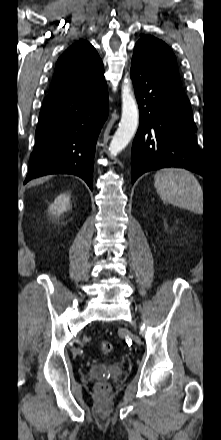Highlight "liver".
<instances>
[{
    "label": "liver",
    "mask_w": 221,
    "mask_h": 440,
    "mask_svg": "<svg viewBox=\"0 0 221 440\" xmlns=\"http://www.w3.org/2000/svg\"><path fill=\"white\" fill-rule=\"evenodd\" d=\"M48 179H49V177H44V178H41V179H37V180L33 181L31 183V185H37V184L43 183V182H45Z\"/></svg>",
    "instance_id": "liver-1"
}]
</instances>
